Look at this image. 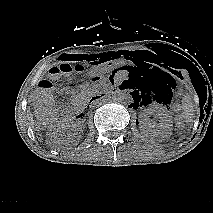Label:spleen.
Instances as JSON below:
<instances>
[{"instance_id":"3e777b00","label":"spleen","mask_w":213,"mask_h":213,"mask_svg":"<svg viewBox=\"0 0 213 213\" xmlns=\"http://www.w3.org/2000/svg\"><path fill=\"white\" fill-rule=\"evenodd\" d=\"M182 114L181 118L186 124H190L194 119V105L190 95H185L182 100Z\"/></svg>"}]
</instances>
